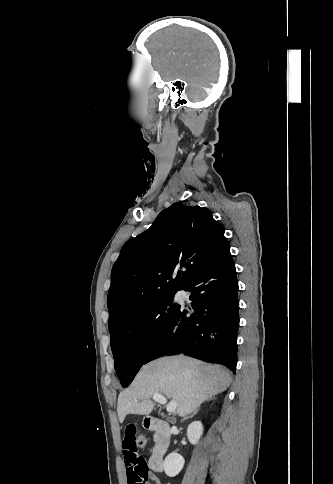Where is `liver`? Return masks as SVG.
I'll list each match as a JSON object with an SVG mask.
<instances>
[{"mask_svg":"<svg viewBox=\"0 0 333 484\" xmlns=\"http://www.w3.org/2000/svg\"><path fill=\"white\" fill-rule=\"evenodd\" d=\"M230 374L218 365L185 357H164L144 365L129 388L120 392L117 412L120 423L126 415H149L154 394L177 402L176 413L183 417L194 412L206 399L227 390Z\"/></svg>","mask_w":333,"mask_h":484,"instance_id":"6515ba94","label":"liver"}]
</instances>
